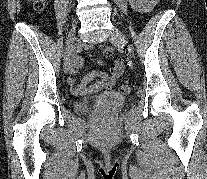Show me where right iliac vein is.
<instances>
[{
    "label": "right iliac vein",
    "mask_w": 207,
    "mask_h": 179,
    "mask_svg": "<svg viewBox=\"0 0 207 179\" xmlns=\"http://www.w3.org/2000/svg\"><path fill=\"white\" fill-rule=\"evenodd\" d=\"M75 30H71L68 35L67 45H66V52H65V59H64V72H69V65L72 53L74 51L75 46Z\"/></svg>",
    "instance_id": "right-iliac-vein-1"
}]
</instances>
